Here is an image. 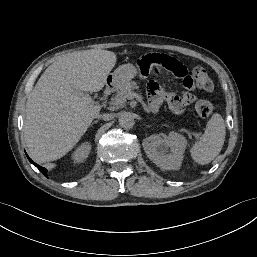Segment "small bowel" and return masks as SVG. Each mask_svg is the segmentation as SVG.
Masks as SVG:
<instances>
[{"label": "small bowel", "instance_id": "obj_1", "mask_svg": "<svg viewBox=\"0 0 257 257\" xmlns=\"http://www.w3.org/2000/svg\"><path fill=\"white\" fill-rule=\"evenodd\" d=\"M133 69L140 76L153 75L146 82L152 113L158 111L162 102H166L174 114H180L195 101L191 93L196 86L194 77L176 57L159 52L146 53L134 60ZM176 79L183 81L184 92L181 95L179 86L175 84Z\"/></svg>", "mask_w": 257, "mask_h": 257}]
</instances>
